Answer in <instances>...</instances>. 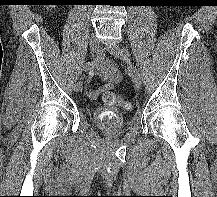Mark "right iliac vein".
<instances>
[{
	"label": "right iliac vein",
	"mask_w": 217,
	"mask_h": 197,
	"mask_svg": "<svg viewBox=\"0 0 217 197\" xmlns=\"http://www.w3.org/2000/svg\"><path fill=\"white\" fill-rule=\"evenodd\" d=\"M89 45H90L91 54L95 55V53H97L99 48V42L95 35H92L90 37ZM82 89H83V83L80 81L76 84L75 91L79 93L82 91Z\"/></svg>",
	"instance_id": "1"
}]
</instances>
